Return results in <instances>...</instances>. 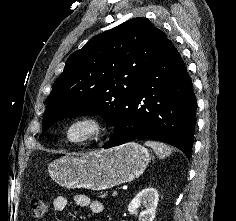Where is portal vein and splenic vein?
Masks as SVG:
<instances>
[{"mask_svg": "<svg viewBox=\"0 0 236 221\" xmlns=\"http://www.w3.org/2000/svg\"><path fill=\"white\" fill-rule=\"evenodd\" d=\"M118 195V192L115 190L112 192V196H117Z\"/></svg>", "mask_w": 236, "mask_h": 221, "instance_id": "1", "label": "portal vein and splenic vein"}]
</instances>
